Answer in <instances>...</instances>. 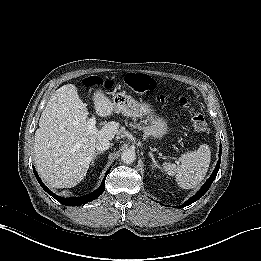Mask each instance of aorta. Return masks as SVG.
I'll return each mask as SVG.
<instances>
[{"instance_id":"762f6f07","label":"aorta","mask_w":261,"mask_h":261,"mask_svg":"<svg viewBox=\"0 0 261 261\" xmlns=\"http://www.w3.org/2000/svg\"><path fill=\"white\" fill-rule=\"evenodd\" d=\"M136 160V152L132 149H125L121 153V161L125 164H131Z\"/></svg>"}]
</instances>
